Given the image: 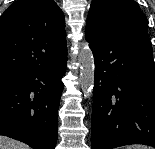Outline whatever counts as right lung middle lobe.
<instances>
[{"mask_svg": "<svg viewBox=\"0 0 155 149\" xmlns=\"http://www.w3.org/2000/svg\"><path fill=\"white\" fill-rule=\"evenodd\" d=\"M22 75L15 71H0V88L18 84Z\"/></svg>", "mask_w": 155, "mask_h": 149, "instance_id": "1", "label": "right lung middle lobe"}]
</instances>
